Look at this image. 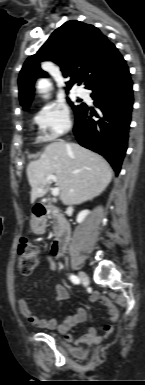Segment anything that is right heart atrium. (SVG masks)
I'll return each mask as SVG.
<instances>
[{"mask_svg":"<svg viewBox=\"0 0 145 385\" xmlns=\"http://www.w3.org/2000/svg\"><path fill=\"white\" fill-rule=\"evenodd\" d=\"M40 138L52 141L65 134L71 128L70 112L64 103L52 102L43 106L35 115Z\"/></svg>","mask_w":145,"mask_h":385,"instance_id":"1","label":"right heart atrium"}]
</instances>
